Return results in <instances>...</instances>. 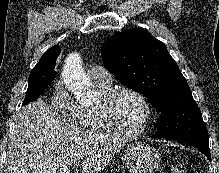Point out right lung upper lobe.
<instances>
[{
	"mask_svg": "<svg viewBox=\"0 0 219 173\" xmlns=\"http://www.w3.org/2000/svg\"><path fill=\"white\" fill-rule=\"evenodd\" d=\"M61 52V49L58 45L53 46L52 48L48 49L39 62L36 64V66L32 69L33 72H36L38 70H43L45 73L54 74L56 76L55 68V62L56 58L59 56Z\"/></svg>",
	"mask_w": 219,
	"mask_h": 173,
	"instance_id": "right-lung-upper-lobe-1",
	"label": "right lung upper lobe"
}]
</instances>
